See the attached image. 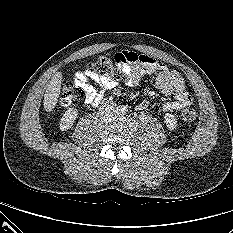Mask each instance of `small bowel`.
Wrapping results in <instances>:
<instances>
[{
  "instance_id": "c3829d8e",
  "label": "small bowel",
  "mask_w": 233,
  "mask_h": 233,
  "mask_svg": "<svg viewBox=\"0 0 233 233\" xmlns=\"http://www.w3.org/2000/svg\"><path fill=\"white\" fill-rule=\"evenodd\" d=\"M115 57L124 63L127 74L125 83L129 86L137 85L145 75L157 74L156 88L164 95L174 97L173 101L165 102L162 105L163 111L180 110L192 103L193 99L185 88L182 76L177 71L171 70L162 61L148 55H139L129 51H122L116 54ZM92 83L98 84L99 88ZM74 84L83 91L85 103L97 107L102 102L105 93L114 89L118 85V81L100 75L91 69H85L75 73ZM138 108L140 110L146 108V103H141Z\"/></svg>"
}]
</instances>
